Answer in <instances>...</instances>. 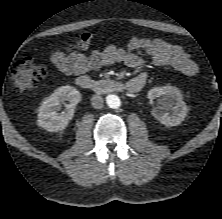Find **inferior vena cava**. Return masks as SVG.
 I'll return each mask as SVG.
<instances>
[{
	"mask_svg": "<svg viewBox=\"0 0 222 219\" xmlns=\"http://www.w3.org/2000/svg\"><path fill=\"white\" fill-rule=\"evenodd\" d=\"M91 104L95 109H101L103 107V98L100 95H93Z\"/></svg>",
	"mask_w": 222,
	"mask_h": 219,
	"instance_id": "inferior-vena-cava-1",
	"label": "inferior vena cava"
}]
</instances>
